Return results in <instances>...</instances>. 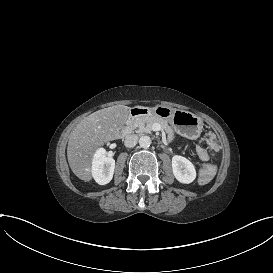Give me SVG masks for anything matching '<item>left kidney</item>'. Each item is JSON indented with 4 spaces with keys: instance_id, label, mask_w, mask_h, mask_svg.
Wrapping results in <instances>:
<instances>
[{
    "instance_id": "5707ae66",
    "label": "left kidney",
    "mask_w": 273,
    "mask_h": 273,
    "mask_svg": "<svg viewBox=\"0 0 273 273\" xmlns=\"http://www.w3.org/2000/svg\"><path fill=\"white\" fill-rule=\"evenodd\" d=\"M172 170L175 178L181 183L189 184L196 178L194 165L185 157L178 155L173 156Z\"/></svg>"
}]
</instances>
